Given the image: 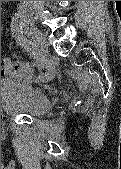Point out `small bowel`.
Masks as SVG:
<instances>
[{
    "label": "small bowel",
    "instance_id": "1",
    "mask_svg": "<svg viewBox=\"0 0 121 169\" xmlns=\"http://www.w3.org/2000/svg\"><path fill=\"white\" fill-rule=\"evenodd\" d=\"M51 73H54L53 67H51ZM32 67L28 63L21 61H15L10 58H4L1 65V74L17 77L23 80H31Z\"/></svg>",
    "mask_w": 121,
    "mask_h": 169
}]
</instances>
